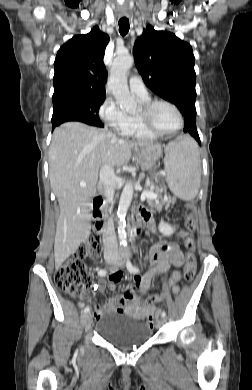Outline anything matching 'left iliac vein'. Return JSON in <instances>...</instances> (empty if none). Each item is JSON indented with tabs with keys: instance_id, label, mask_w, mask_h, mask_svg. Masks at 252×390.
Segmentation results:
<instances>
[{
	"instance_id": "1",
	"label": "left iliac vein",
	"mask_w": 252,
	"mask_h": 390,
	"mask_svg": "<svg viewBox=\"0 0 252 390\" xmlns=\"http://www.w3.org/2000/svg\"><path fill=\"white\" fill-rule=\"evenodd\" d=\"M123 257H124V252L122 251V252H121V255L118 256V257H116L115 265L120 266V267L124 266ZM165 321H166V318H165V317H163V316H158V322H159L160 324L164 323Z\"/></svg>"
}]
</instances>
